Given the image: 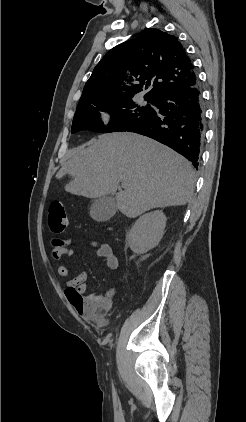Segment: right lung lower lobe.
I'll return each instance as SVG.
<instances>
[{
  "instance_id": "1",
  "label": "right lung lower lobe",
  "mask_w": 246,
  "mask_h": 422,
  "mask_svg": "<svg viewBox=\"0 0 246 422\" xmlns=\"http://www.w3.org/2000/svg\"><path fill=\"white\" fill-rule=\"evenodd\" d=\"M159 109L124 130L155 139L186 157L198 169L204 141V110L198 82L162 94L153 100Z\"/></svg>"
}]
</instances>
